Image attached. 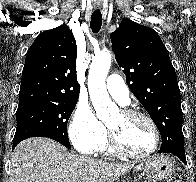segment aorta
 <instances>
[{
    "label": "aorta",
    "instance_id": "1",
    "mask_svg": "<svg viewBox=\"0 0 196 182\" xmlns=\"http://www.w3.org/2000/svg\"><path fill=\"white\" fill-rule=\"evenodd\" d=\"M112 56L102 51L94 56L89 69L88 90L97 118L103 122L118 112V107L110 100L106 88V77L111 66Z\"/></svg>",
    "mask_w": 196,
    "mask_h": 182
}]
</instances>
